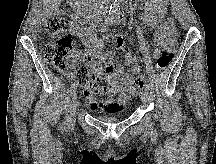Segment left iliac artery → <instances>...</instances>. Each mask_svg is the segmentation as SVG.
Returning a JSON list of instances; mask_svg holds the SVG:
<instances>
[{"instance_id": "44dca946", "label": "left iliac artery", "mask_w": 216, "mask_h": 164, "mask_svg": "<svg viewBox=\"0 0 216 164\" xmlns=\"http://www.w3.org/2000/svg\"><path fill=\"white\" fill-rule=\"evenodd\" d=\"M121 20H122V19H121L120 16H119L118 18L115 19V22H117V23L119 22V23H120ZM145 86H146V88H147L148 90L150 89V85H149L148 82H146Z\"/></svg>"}]
</instances>
